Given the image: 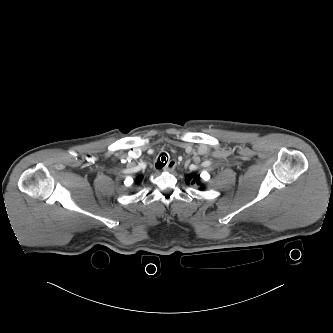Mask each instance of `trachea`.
I'll list each match as a JSON object with an SVG mask.
<instances>
[{
    "mask_svg": "<svg viewBox=\"0 0 333 333\" xmlns=\"http://www.w3.org/2000/svg\"><path fill=\"white\" fill-rule=\"evenodd\" d=\"M160 156H161V158H160ZM160 156H159V158H158L157 163L155 164V167H156L157 169H161L162 167H164L165 164H166L167 161H168V160L166 161V157H168L166 153H162ZM165 156H166V157H165ZM164 161H165V163H164Z\"/></svg>",
    "mask_w": 333,
    "mask_h": 333,
    "instance_id": "obj_1",
    "label": "trachea"
}]
</instances>
